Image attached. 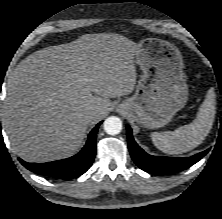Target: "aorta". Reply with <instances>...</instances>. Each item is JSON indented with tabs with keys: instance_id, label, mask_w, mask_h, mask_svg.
<instances>
[{
	"instance_id": "762f6f07",
	"label": "aorta",
	"mask_w": 222,
	"mask_h": 219,
	"mask_svg": "<svg viewBox=\"0 0 222 219\" xmlns=\"http://www.w3.org/2000/svg\"><path fill=\"white\" fill-rule=\"evenodd\" d=\"M104 130L109 135H117L122 130V121L116 116H110L104 121Z\"/></svg>"
}]
</instances>
